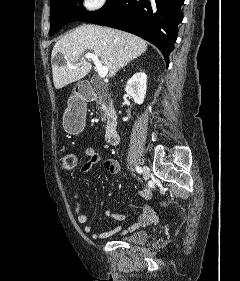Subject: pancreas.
Listing matches in <instances>:
<instances>
[{"label":"pancreas","mask_w":240,"mask_h":281,"mask_svg":"<svg viewBox=\"0 0 240 281\" xmlns=\"http://www.w3.org/2000/svg\"><path fill=\"white\" fill-rule=\"evenodd\" d=\"M101 98L103 100H101V103H100V108H101V117H102V121H105L106 120V116L108 114V107L106 106L105 103H108V101H110V98H109V95H108V92H104L102 93L101 95Z\"/></svg>","instance_id":"pancreas-1"}]
</instances>
